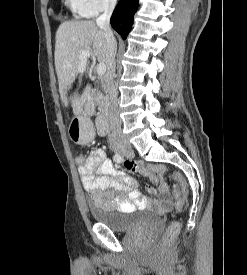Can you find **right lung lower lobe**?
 I'll return each mask as SVG.
<instances>
[{
	"instance_id": "right-lung-lower-lobe-1",
	"label": "right lung lower lobe",
	"mask_w": 247,
	"mask_h": 275,
	"mask_svg": "<svg viewBox=\"0 0 247 275\" xmlns=\"http://www.w3.org/2000/svg\"><path fill=\"white\" fill-rule=\"evenodd\" d=\"M138 7V0H120L110 19L112 27L126 39L133 24V17Z\"/></svg>"
}]
</instances>
